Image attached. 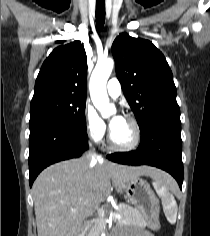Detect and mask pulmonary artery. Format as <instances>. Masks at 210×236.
Segmentation results:
<instances>
[{"label":"pulmonary artery","instance_id":"1","mask_svg":"<svg viewBox=\"0 0 210 236\" xmlns=\"http://www.w3.org/2000/svg\"><path fill=\"white\" fill-rule=\"evenodd\" d=\"M106 89L108 94L114 98L118 97L121 94V85L115 78L109 80Z\"/></svg>","mask_w":210,"mask_h":236}]
</instances>
